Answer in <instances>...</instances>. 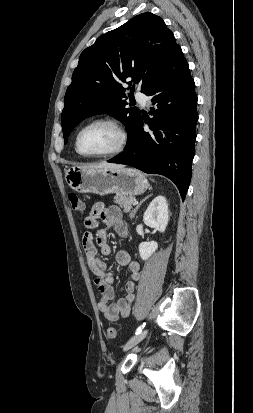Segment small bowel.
<instances>
[{
  "mask_svg": "<svg viewBox=\"0 0 253 413\" xmlns=\"http://www.w3.org/2000/svg\"><path fill=\"white\" fill-rule=\"evenodd\" d=\"M99 220L104 223L105 227L97 230L94 234L93 230L98 227ZM84 226L86 232L82 237V246L88 267L95 275L94 284L100 292L98 309L110 321H116L120 317H128L135 299L136 282L140 279V264L132 261L127 251L121 250L117 253L116 261L120 266L128 267L129 278L125 283L124 297L115 301L113 273L108 270L98 254V249L103 256H108L111 253L107 239L108 229L114 228L122 237L127 235V226L122 219V212L117 206H106L102 202H97L85 217Z\"/></svg>",
  "mask_w": 253,
  "mask_h": 413,
  "instance_id": "1",
  "label": "small bowel"
}]
</instances>
